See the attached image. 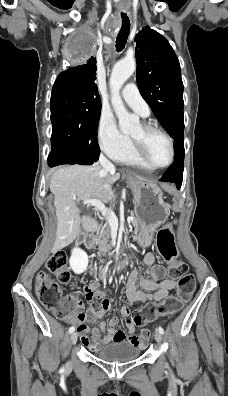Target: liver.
Segmentation results:
<instances>
[{
  "label": "liver",
  "mask_w": 228,
  "mask_h": 396,
  "mask_svg": "<svg viewBox=\"0 0 228 396\" xmlns=\"http://www.w3.org/2000/svg\"><path fill=\"white\" fill-rule=\"evenodd\" d=\"M119 177L120 175L115 170L106 172L98 164L71 165L54 172L50 182L57 216L53 252L71 244L81 232L97 230V222L94 219L89 216H80L78 204L88 199L108 203L113 196L111 184ZM106 183L110 185L108 190L104 189Z\"/></svg>",
  "instance_id": "6515ba94"
}]
</instances>
